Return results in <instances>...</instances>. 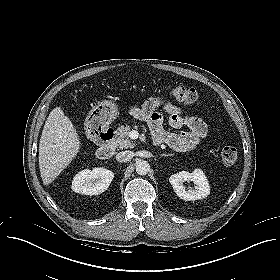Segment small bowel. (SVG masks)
Listing matches in <instances>:
<instances>
[{"mask_svg": "<svg viewBox=\"0 0 280 280\" xmlns=\"http://www.w3.org/2000/svg\"><path fill=\"white\" fill-rule=\"evenodd\" d=\"M158 110L166 115L170 127L179 129L186 126L188 130L167 131L164 126V116ZM130 114L149 124L154 139L157 138L161 142H165L178 152L194 149L208 135L207 124L201 118L188 114L181 107L161 97H151L141 106L131 107Z\"/></svg>", "mask_w": 280, "mask_h": 280, "instance_id": "obj_1", "label": "small bowel"}]
</instances>
